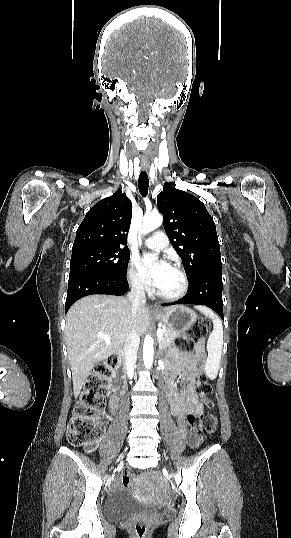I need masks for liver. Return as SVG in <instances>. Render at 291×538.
I'll return each instance as SVG.
<instances>
[{
	"label": "liver",
	"mask_w": 291,
	"mask_h": 538,
	"mask_svg": "<svg viewBox=\"0 0 291 538\" xmlns=\"http://www.w3.org/2000/svg\"><path fill=\"white\" fill-rule=\"evenodd\" d=\"M132 325V303L125 297L90 295L81 298L69 309L65 342L75 397L80 394L92 368L122 349ZM134 325L139 336L146 332L149 326L148 308H138ZM101 335L110 336L109 343Z\"/></svg>",
	"instance_id": "obj_1"
}]
</instances>
